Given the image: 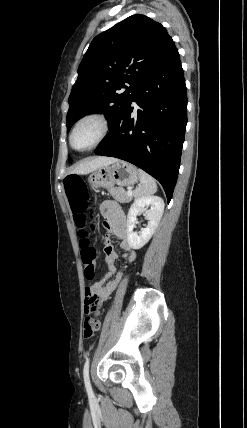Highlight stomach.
<instances>
[{"mask_svg":"<svg viewBox=\"0 0 247 428\" xmlns=\"http://www.w3.org/2000/svg\"><path fill=\"white\" fill-rule=\"evenodd\" d=\"M138 178V170L133 164L118 160L92 171L88 177V182L96 189H110L115 184L119 186L133 185L138 181Z\"/></svg>","mask_w":247,"mask_h":428,"instance_id":"0dacf381","label":"stomach"}]
</instances>
